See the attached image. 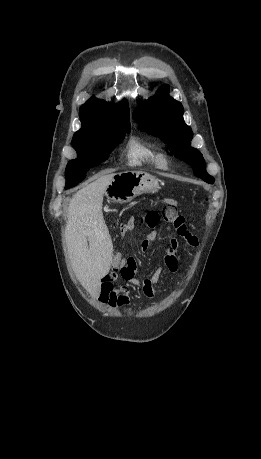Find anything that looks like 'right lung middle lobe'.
<instances>
[{
	"instance_id": "right-lung-middle-lobe-1",
	"label": "right lung middle lobe",
	"mask_w": 261,
	"mask_h": 459,
	"mask_svg": "<svg viewBox=\"0 0 261 459\" xmlns=\"http://www.w3.org/2000/svg\"><path fill=\"white\" fill-rule=\"evenodd\" d=\"M129 132L130 123L74 135L72 145L78 157L71 160L66 167L65 188L76 186L84 180L86 172L105 161L124 139L125 133Z\"/></svg>"
}]
</instances>
